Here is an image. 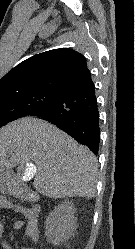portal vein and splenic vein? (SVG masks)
Masks as SVG:
<instances>
[{
    "mask_svg": "<svg viewBox=\"0 0 135 249\" xmlns=\"http://www.w3.org/2000/svg\"><path fill=\"white\" fill-rule=\"evenodd\" d=\"M26 171L28 176H33L36 173V166L34 164H27Z\"/></svg>",
    "mask_w": 135,
    "mask_h": 249,
    "instance_id": "obj_1",
    "label": "portal vein and splenic vein"
}]
</instances>
